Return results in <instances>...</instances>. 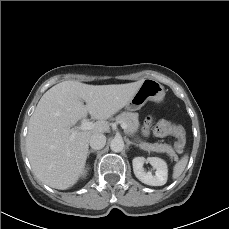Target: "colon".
Masks as SVG:
<instances>
[{
    "mask_svg": "<svg viewBox=\"0 0 229 229\" xmlns=\"http://www.w3.org/2000/svg\"><path fill=\"white\" fill-rule=\"evenodd\" d=\"M155 133L158 136H174L176 138V145L178 150H181L185 146L186 133L183 127L175 125L169 120L162 119L158 121L155 126Z\"/></svg>",
    "mask_w": 229,
    "mask_h": 229,
    "instance_id": "obj_1",
    "label": "colon"
}]
</instances>
